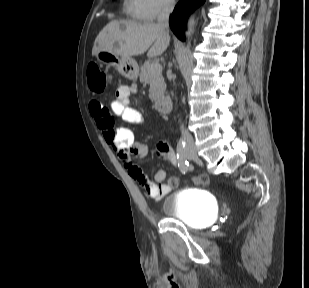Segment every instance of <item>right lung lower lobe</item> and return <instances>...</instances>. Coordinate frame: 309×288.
Segmentation results:
<instances>
[{
    "instance_id": "98d812e1",
    "label": "right lung lower lobe",
    "mask_w": 309,
    "mask_h": 288,
    "mask_svg": "<svg viewBox=\"0 0 309 288\" xmlns=\"http://www.w3.org/2000/svg\"><path fill=\"white\" fill-rule=\"evenodd\" d=\"M204 2L205 0H180L175 7L171 15L170 27L180 40H185L184 26L188 15Z\"/></svg>"
}]
</instances>
